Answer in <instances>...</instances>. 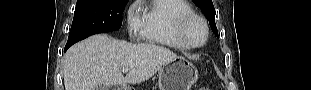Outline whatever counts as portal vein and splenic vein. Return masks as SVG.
<instances>
[{"instance_id":"18ae733b","label":"portal vein and splenic vein","mask_w":311,"mask_h":90,"mask_svg":"<svg viewBox=\"0 0 311 90\" xmlns=\"http://www.w3.org/2000/svg\"><path fill=\"white\" fill-rule=\"evenodd\" d=\"M128 70H129L128 67H124V68L122 69V72H123V73H126V72H128Z\"/></svg>"}]
</instances>
